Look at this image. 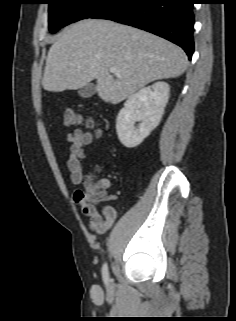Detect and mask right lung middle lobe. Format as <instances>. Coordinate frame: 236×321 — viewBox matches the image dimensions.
Masks as SVG:
<instances>
[{"label": "right lung middle lobe", "instance_id": "1", "mask_svg": "<svg viewBox=\"0 0 236 321\" xmlns=\"http://www.w3.org/2000/svg\"><path fill=\"white\" fill-rule=\"evenodd\" d=\"M111 0H47L49 4V30L55 33L61 27L89 18Z\"/></svg>", "mask_w": 236, "mask_h": 321}]
</instances>
